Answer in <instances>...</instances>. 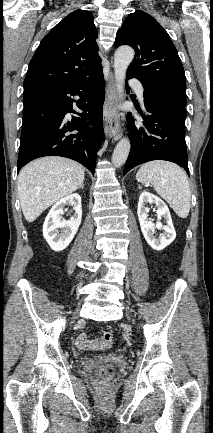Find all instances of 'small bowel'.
I'll return each instance as SVG.
<instances>
[{"mask_svg": "<svg viewBox=\"0 0 213 433\" xmlns=\"http://www.w3.org/2000/svg\"><path fill=\"white\" fill-rule=\"evenodd\" d=\"M76 346L79 349L96 350V349L106 348L108 345L104 343L102 338L99 337L90 338L86 334H80L76 339Z\"/></svg>", "mask_w": 213, "mask_h": 433, "instance_id": "obj_1", "label": "small bowel"}]
</instances>
